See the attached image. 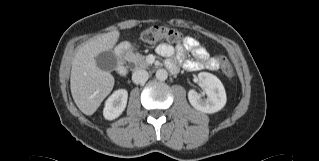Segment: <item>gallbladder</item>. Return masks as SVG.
Segmentation results:
<instances>
[{"mask_svg": "<svg viewBox=\"0 0 319 161\" xmlns=\"http://www.w3.org/2000/svg\"><path fill=\"white\" fill-rule=\"evenodd\" d=\"M96 65L103 71H112L117 66V56L114 51L108 50L101 52L98 56L95 57Z\"/></svg>", "mask_w": 319, "mask_h": 161, "instance_id": "gallbladder-1", "label": "gallbladder"}]
</instances>
